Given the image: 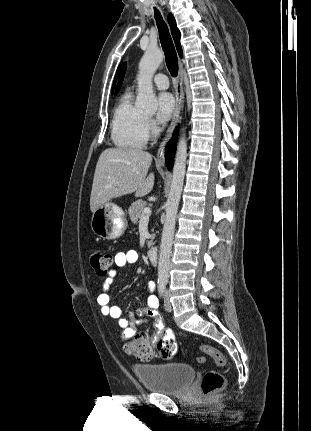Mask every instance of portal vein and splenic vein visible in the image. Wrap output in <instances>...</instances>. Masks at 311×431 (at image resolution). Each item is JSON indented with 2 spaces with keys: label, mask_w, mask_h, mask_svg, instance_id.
Returning <instances> with one entry per match:
<instances>
[{
  "label": "portal vein and splenic vein",
  "mask_w": 311,
  "mask_h": 431,
  "mask_svg": "<svg viewBox=\"0 0 311 431\" xmlns=\"http://www.w3.org/2000/svg\"><path fill=\"white\" fill-rule=\"evenodd\" d=\"M151 216V208H144L141 217H149Z\"/></svg>",
  "instance_id": "1"
}]
</instances>
